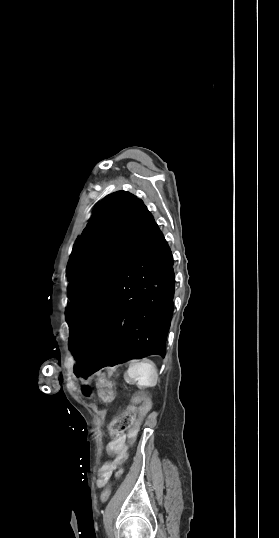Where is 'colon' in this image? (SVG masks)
Masks as SVG:
<instances>
[{
	"label": "colon",
	"mask_w": 279,
	"mask_h": 538,
	"mask_svg": "<svg viewBox=\"0 0 279 538\" xmlns=\"http://www.w3.org/2000/svg\"><path fill=\"white\" fill-rule=\"evenodd\" d=\"M136 399L133 403L128 406V408L116 416L110 423L109 426V435L112 438L118 437L122 432L128 430V441L133 443L140 431V420H136L137 416V406L135 405ZM116 447L113 445V442L109 444L106 448L105 455L101 458V462L98 469V481L105 482L108 481L110 475L114 469V460L113 457L116 453ZM111 495V488L106 487L101 493V500L106 502Z\"/></svg>",
	"instance_id": "obj_1"
}]
</instances>
